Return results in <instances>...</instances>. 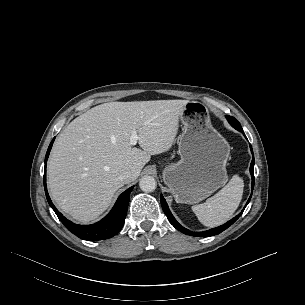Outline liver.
I'll use <instances>...</instances> for the list:
<instances>
[{
  "instance_id": "liver-1",
  "label": "liver",
  "mask_w": 305,
  "mask_h": 305,
  "mask_svg": "<svg viewBox=\"0 0 305 305\" xmlns=\"http://www.w3.org/2000/svg\"><path fill=\"white\" fill-rule=\"evenodd\" d=\"M187 100L109 102L75 118L56 140L47 165L48 187L58 207L86 224L109 206L124 185L122 170L136 180L151 155L168 151ZM143 149L132 147V131Z\"/></svg>"
}]
</instances>
